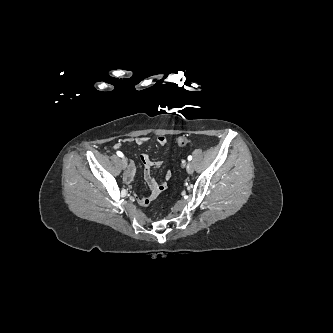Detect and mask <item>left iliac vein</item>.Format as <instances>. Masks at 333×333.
Masks as SVG:
<instances>
[{
  "label": "left iliac vein",
  "mask_w": 333,
  "mask_h": 333,
  "mask_svg": "<svg viewBox=\"0 0 333 333\" xmlns=\"http://www.w3.org/2000/svg\"><path fill=\"white\" fill-rule=\"evenodd\" d=\"M186 170L189 174H192L193 173V166L191 163H188L187 166H186Z\"/></svg>",
  "instance_id": "1"
}]
</instances>
